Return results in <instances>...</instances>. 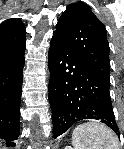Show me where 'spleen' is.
I'll list each match as a JSON object with an SVG mask.
<instances>
[{"label":"spleen","instance_id":"3e777b00","mask_svg":"<svg viewBox=\"0 0 124 149\" xmlns=\"http://www.w3.org/2000/svg\"><path fill=\"white\" fill-rule=\"evenodd\" d=\"M95 123H85L75 128L72 144L75 149H118L111 131Z\"/></svg>","mask_w":124,"mask_h":149}]
</instances>
